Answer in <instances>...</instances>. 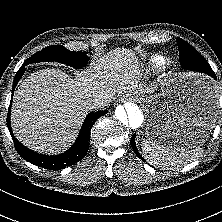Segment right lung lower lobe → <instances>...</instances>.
I'll return each instance as SVG.
<instances>
[{
	"label": "right lung lower lobe",
	"mask_w": 222,
	"mask_h": 222,
	"mask_svg": "<svg viewBox=\"0 0 222 222\" xmlns=\"http://www.w3.org/2000/svg\"><path fill=\"white\" fill-rule=\"evenodd\" d=\"M27 65L28 63L24 62L23 65L18 70L14 78L12 93L14 92L16 84L18 83L22 75L24 74L25 66ZM107 112H108L107 110H104V111H97V112L89 113L83 122L79 136L77 140L75 141V143L73 144V146L66 152L60 155H55V156H52V155L49 156V155L36 153L30 150L29 148L23 146L14 137L11 126H10L11 102H10V107H9V111L7 115V125L11 133L14 146L22 158H24L26 161L38 167H42L49 170H60V169L66 168L67 166L73 165L84 158V156L86 155L89 149L91 128L96 122V120L99 117L105 115Z\"/></svg>",
	"instance_id": "98d812e1"
}]
</instances>
